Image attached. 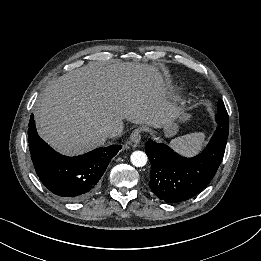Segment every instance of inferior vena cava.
I'll use <instances>...</instances> for the list:
<instances>
[{
    "mask_svg": "<svg viewBox=\"0 0 261 261\" xmlns=\"http://www.w3.org/2000/svg\"><path fill=\"white\" fill-rule=\"evenodd\" d=\"M122 132V128L118 125H108L104 128V133L108 137H116L120 135Z\"/></svg>",
    "mask_w": 261,
    "mask_h": 261,
    "instance_id": "1",
    "label": "inferior vena cava"
}]
</instances>
